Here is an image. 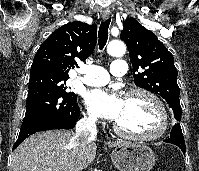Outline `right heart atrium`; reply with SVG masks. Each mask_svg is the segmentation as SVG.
I'll return each instance as SVG.
<instances>
[{
    "label": "right heart atrium",
    "mask_w": 199,
    "mask_h": 171,
    "mask_svg": "<svg viewBox=\"0 0 199 171\" xmlns=\"http://www.w3.org/2000/svg\"><path fill=\"white\" fill-rule=\"evenodd\" d=\"M84 118L89 124H92V125H95L97 122L96 116L90 112L86 113L84 115Z\"/></svg>",
    "instance_id": "1"
}]
</instances>
